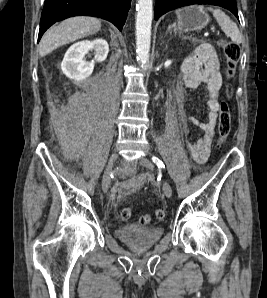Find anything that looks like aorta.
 Returning <instances> with one entry per match:
<instances>
[{"label": "aorta", "mask_w": 267, "mask_h": 298, "mask_svg": "<svg viewBox=\"0 0 267 298\" xmlns=\"http://www.w3.org/2000/svg\"><path fill=\"white\" fill-rule=\"evenodd\" d=\"M136 10V52L142 68L147 70L151 44L153 1L138 0Z\"/></svg>", "instance_id": "762f6f07"}]
</instances>
